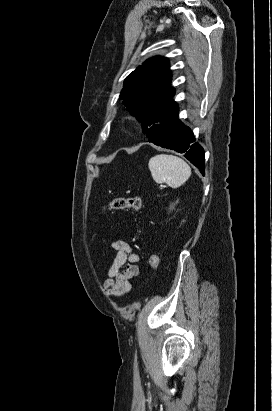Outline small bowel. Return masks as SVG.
I'll return each instance as SVG.
<instances>
[{
	"label": "small bowel",
	"mask_w": 272,
	"mask_h": 411,
	"mask_svg": "<svg viewBox=\"0 0 272 411\" xmlns=\"http://www.w3.org/2000/svg\"><path fill=\"white\" fill-rule=\"evenodd\" d=\"M111 248L116 254L108 270L104 288L107 295L122 299L131 290V281L139 274L140 257L131 245L123 240L113 241Z\"/></svg>",
	"instance_id": "c3829d8e"
}]
</instances>
